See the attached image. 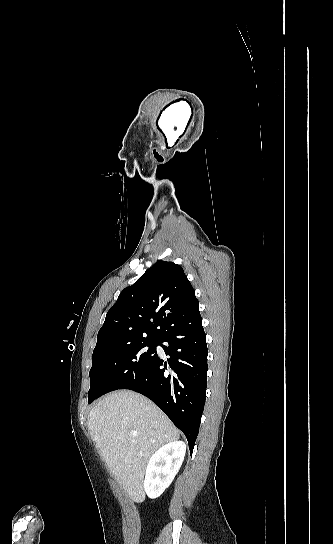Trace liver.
Returning <instances> with one entry per match:
<instances>
[{
    "label": "liver",
    "instance_id": "1",
    "mask_svg": "<svg viewBox=\"0 0 333 544\" xmlns=\"http://www.w3.org/2000/svg\"><path fill=\"white\" fill-rule=\"evenodd\" d=\"M88 427L114 478L133 501H143L146 464L160 446L179 439L178 429L149 399L126 390L100 400Z\"/></svg>",
    "mask_w": 333,
    "mask_h": 544
}]
</instances>
